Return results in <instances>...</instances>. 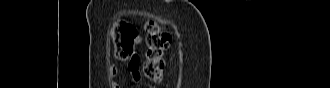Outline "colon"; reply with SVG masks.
I'll return each instance as SVG.
<instances>
[{"label": "colon", "mask_w": 330, "mask_h": 88, "mask_svg": "<svg viewBox=\"0 0 330 88\" xmlns=\"http://www.w3.org/2000/svg\"><path fill=\"white\" fill-rule=\"evenodd\" d=\"M136 30L124 21L116 23L111 31L115 55L122 60H132L134 54V39ZM171 43V35L167 29L161 27L157 22L150 21L146 25V53L142 65V73L148 81L158 83L163 79L165 61L164 51ZM133 65L136 66L135 61Z\"/></svg>", "instance_id": "1"}]
</instances>
